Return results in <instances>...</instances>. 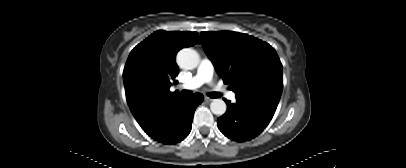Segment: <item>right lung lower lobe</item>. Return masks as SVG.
I'll use <instances>...</instances> for the list:
<instances>
[{
	"label": "right lung lower lobe",
	"mask_w": 406,
	"mask_h": 168,
	"mask_svg": "<svg viewBox=\"0 0 406 168\" xmlns=\"http://www.w3.org/2000/svg\"><path fill=\"white\" fill-rule=\"evenodd\" d=\"M202 101L203 95L199 93L187 98L180 97L142 128L158 142H180L190 133L195 109Z\"/></svg>",
	"instance_id": "obj_1"
}]
</instances>
